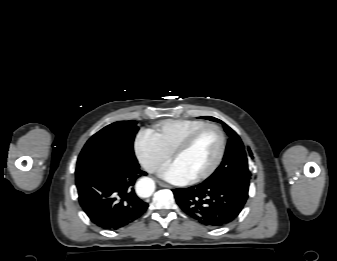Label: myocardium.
<instances>
[{"label":"myocardium","mask_w":337,"mask_h":261,"mask_svg":"<svg viewBox=\"0 0 337 261\" xmlns=\"http://www.w3.org/2000/svg\"><path fill=\"white\" fill-rule=\"evenodd\" d=\"M208 129H213L215 130L220 137V148L217 154L216 159L214 160V162L211 164V166L205 170L204 172L194 176L191 178L192 182H199L202 180L207 179L208 177H210L220 166V164L223 161L225 152H226V147H227V139H226V135L223 131V129L216 125V124H212V123H205L204 125L192 130L191 132H189L182 140L181 142L175 147V149L173 150V152L171 153L172 155V159L175 160L180 154H182L183 152H185L191 145L192 143L195 141V139L204 131L208 130Z\"/></svg>","instance_id":"f54148a6"}]
</instances>
